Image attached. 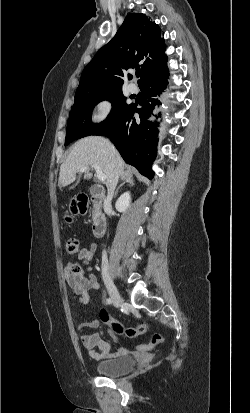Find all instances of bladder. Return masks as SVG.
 <instances>
[{
  "instance_id": "1",
  "label": "bladder",
  "mask_w": 250,
  "mask_h": 413,
  "mask_svg": "<svg viewBox=\"0 0 250 413\" xmlns=\"http://www.w3.org/2000/svg\"><path fill=\"white\" fill-rule=\"evenodd\" d=\"M135 363L136 361L133 356L122 355L98 363L95 370L98 374L103 376H119L132 370Z\"/></svg>"
}]
</instances>
